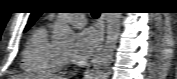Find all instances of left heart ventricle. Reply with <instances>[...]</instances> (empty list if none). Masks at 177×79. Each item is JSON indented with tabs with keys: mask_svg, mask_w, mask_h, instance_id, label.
Listing matches in <instances>:
<instances>
[{
	"mask_svg": "<svg viewBox=\"0 0 177 79\" xmlns=\"http://www.w3.org/2000/svg\"><path fill=\"white\" fill-rule=\"evenodd\" d=\"M70 27L72 28V29H74V30H76V29H78L79 27H80V25L79 24H76V25H70ZM62 52H64V53H69L70 52V49L69 48H64V49H62Z\"/></svg>",
	"mask_w": 177,
	"mask_h": 79,
	"instance_id": "b2bd125f",
	"label": "left heart ventricle"
}]
</instances>
